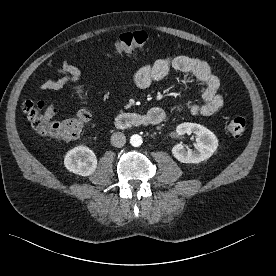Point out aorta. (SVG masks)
Instances as JSON below:
<instances>
[{
    "instance_id": "762f6f07",
    "label": "aorta",
    "mask_w": 276,
    "mask_h": 276,
    "mask_svg": "<svg viewBox=\"0 0 276 276\" xmlns=\"http://www.w3.org/2000/svg\"><path fill=\"white\" fill-rule=\"evenodd\" d=\"M142 137L138 134H134L130 137V143L134 147H139L142 144Z\"/></svg>"
}]
</instances>
